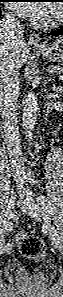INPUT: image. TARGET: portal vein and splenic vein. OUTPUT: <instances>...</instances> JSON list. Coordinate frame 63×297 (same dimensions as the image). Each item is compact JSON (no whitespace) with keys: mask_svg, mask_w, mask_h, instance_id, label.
I'll use <instances>...</instances> for the list:
<instances>
[{"mask_svg":"<svg viewBox=\"0 0 63 297\" xmlns=\"http://www.w3.org/2000/svg\"><path fill=\"white\" fill-rule=\"evenodd\" d=\"M59 79H60V80H63V76L60 75V76H59Z\"/></svg>","mask_w":63,"mask_h":297,"instance_id":"portal-vein-and-splenic-vein-1","label":"portal vein and splenic vein"}]
</instances>
